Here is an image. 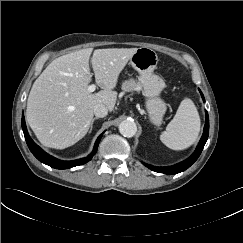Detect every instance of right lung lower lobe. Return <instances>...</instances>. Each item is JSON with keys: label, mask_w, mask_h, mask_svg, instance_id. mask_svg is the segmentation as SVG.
I'll return each mask as SVG.
<instances>
[{"label": "right lung lower lobe", "mask_w": 243, "mask_h": 243, "mask_svg": "<svg viewBox=\"0 0 243 243\" xmlns=\"http://www.w3.org/2000/svg\"><path fill=\"white\" fill-rule=\"evenodd\" d=\"M22 129L24 132L26 143H27L30 151L33 153V155L42 163L49 165L50 167H53L56 169H68V168L75 167L78 165H83V164L87 163L88 161H90L91 158L93 157V155L96 153L100 139L102 137V134H101L97 138L92 153L90 155H88L87 157L81 158L78 160H74V161H61V160H58V159L52 157L51 155L47 154L37 144L34 143V141L30 138V136L27 132L24 116H22Z\"/></svg>", "instance_id": "obj_1"}]
</instances>
